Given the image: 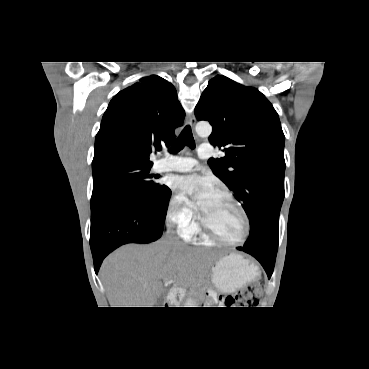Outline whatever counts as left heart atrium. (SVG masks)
Here are the masks:
<instances>
[{
    "label": "left heart atrium",
    "mask_w": 369,
    "mask_h": 369,
    "mask_svg": "<svg viewBox=\"0 0 369 369\" xmlns=\"http://www.w3.org/2000/svg\"><path fill=\"white\" fill-rule=\"evenodd\" d=\"M174 188L184 196L198 195L196 205L200 209L216 193L209 179L195 174L177 177Z\"/></svg>",
    "instance_id": "1"
}]
</instances>
